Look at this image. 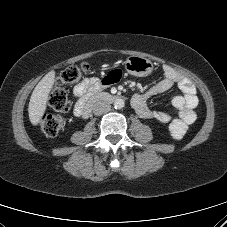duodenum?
Masks as SVG:
<instances>
[{
  "label": "duodenum",
  "instance_id": "obj_1",
  "mask_svg": "<svg viewBox=\"0 0 227 227\" xmlns=\"http://www.w3.org/2000/svg\"><path fill=\"white\" fill-rule=\"evenodd\" d=\"M115 96L105 92H95L86 97L81 107L80 115L84 118H87L93 106L99 102H112L115 100Z\"/></svg>",
  "mask_w": 227,
  "mask_h": 227
}]
</instances>
